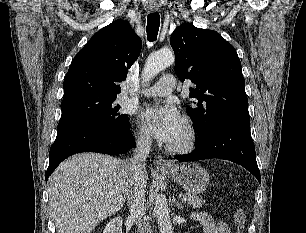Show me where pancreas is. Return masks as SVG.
Segmentation results:
<instances>
[{"label":"pancreas","instance_id":"pancreas-1","mask_svg":"<svg viewBox=\"0 0 306 233\" xmlns=\"http://www.w3.org/2000/svg\"><path fill=\"white\" fill-rule=\"evenodd\" d=\"M184 197L187 198L188 205L193 208H200L205 203V200L202 198L189 193L184 194Z\"/></svg>","mask_w":306,"mask_h":233}]
</instances>
